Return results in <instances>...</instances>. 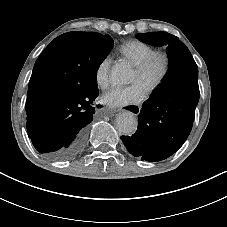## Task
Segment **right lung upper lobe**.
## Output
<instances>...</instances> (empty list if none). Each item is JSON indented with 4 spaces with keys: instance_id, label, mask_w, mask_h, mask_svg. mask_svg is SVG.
I'll return each instance as SVG.
<instances>
[{
    "instance_id": "cb5924a9",
    "label": "right lung upper lobe",
    "mask_w": 227,
    "mask_h": 227,
    "mask_svg": "<svg viewBox=\"0 0 227 227\" xmlns=\"http://www.w3.org/2000/svg\"><path fill=\"white\" fill-rule=\"evenodd\" d=\"M76 72L43 54L37 59L28 86L27 117H35L44 103L63 93H71Z\"/></svg>"
}]
</instances>
